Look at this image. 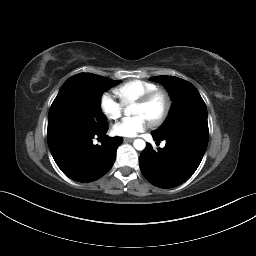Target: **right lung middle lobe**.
Masks as SVG:
<instances>
[{
    "label": "right lung middle lobe",
    "instance_id": "1",
    "mask_svg": "<svg viewBox=\"0 0 256 256\" xmlns=\"http://www.w3.org/2000/svg\"><path fill=\"white\" fill-rule=\"evenodd\" d=\"M69 79V87L60 91L51 105L48 127H73L85 132L104 129L107 118L100 107L102 93L121 81L91 73Z\"/></svg>",
    "mask_w": 256,
    "mask_h": 256
}]
</instances>
